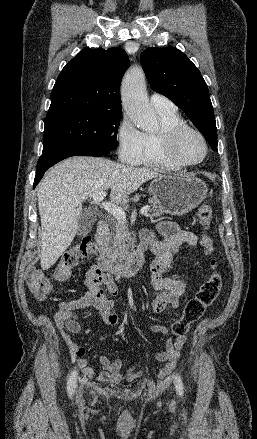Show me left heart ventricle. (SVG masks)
I'll return each mask as SVG.
<instances>
[{
  "instance_id": "b2bd125f",
  "label": "left heart ventricle",
  "mask_w": 257,
  "mask_h": 439,
  "mask_svg": "<svg viewBox=\"0 0 257 439\" xmlns=\"http://www.w3.org/2000/svg\"><path fill=\"white\" fill-rule=\"evenodd\" d=\"M177 153L183 160L194 162L202 158L204 147L194 133L188 132L179 140Z\"/></svg>"
}]
</instances>
